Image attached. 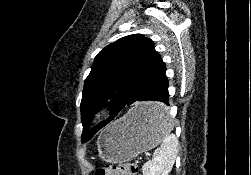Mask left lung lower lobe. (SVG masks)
<instances>
[{
	"mask_svg": "<svg viewBox=\"0 0 251 175\" xmlns=\"http://www.w3.org/2000/svg\"><path fill=\"white\" fill-rule=\"evenodd\" d=\"M165 72L166 67L161 60L136 84L126 103L110 104L111 116L102 124L105 126L118 114H126L129 118L140 121L165 120L169 115L167 107L169 106V83ZM138 101H157L158 103L138 104ZM96 111L92 113V116Z\"/></svg>",
	"mask_w": 251,
	"mask_h": 175,
	"instance_id": "0a47b994",
	"label": "left lung lower lobe"
}]
</instances>
